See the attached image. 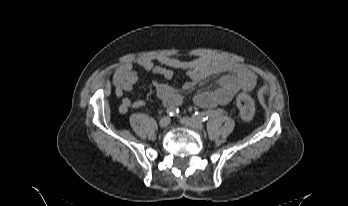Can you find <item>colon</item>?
Listing matches in <instances>:
<instances>
[{
	"mask_svg": "<svg viewBox=\"0 0 348 206\" xmlns=\"http://www.w3.org/2000/svg\"><path fill=\"white\" fill-rule=\"evenodd\" d=\"M240 116L245 121H250L254 115V105L248 94L240 92L235 99Z\"/></svg>",
	"mask_w": 348,
	"mask_h": 206,
	"instance_id": "colon-1",
	"label": "colon"
}]
</instances>
